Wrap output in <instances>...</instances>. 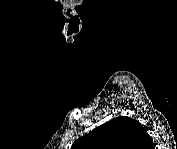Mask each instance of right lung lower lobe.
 Instances as JSON below:
<instances>
[{
    "mask_svg": "<svg viewBox=\"0 0 177 149\" xmlns=\"http://www.w3.org/2000/svg\"><path fill=\"white\" fill-rule=\"evenodd\" d=\"M143 142L147 143V146H153L152 144V139L151 137L148 135L147 137L144 138Z\"/></svg>",
    "mask_w": 177,
    "mask_h": 149,
    "instance_id": "right-lung-lower-lobe-1",
    "label": "right lung lower lobe"
}]
</instances>
